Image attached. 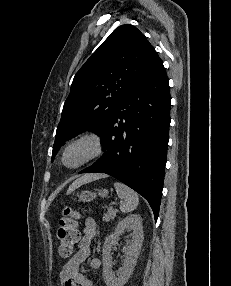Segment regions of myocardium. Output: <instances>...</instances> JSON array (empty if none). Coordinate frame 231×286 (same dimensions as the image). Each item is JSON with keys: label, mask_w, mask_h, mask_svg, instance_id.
<instances>
[{"label": "myocardium", "mask_w": 231, "mask_h": 286, "mask_svg": "<svg viewBox=\"0 0 231 286\" xmlns=\"http://www.w3.org/2000/svg\"><path fill=\"white\" fill-rule=\"evenodd\" d=\"M77 145H88L90 150L88 154L77 164L69 166L66 164L65 159L68 151ZM104 153V142L102 137L93 131H84L70 139L61 152L60 163L68 170H77L86 164L96 160Z\"/></svg>", "instance_id": "myocardium-1"}]
</instances>
